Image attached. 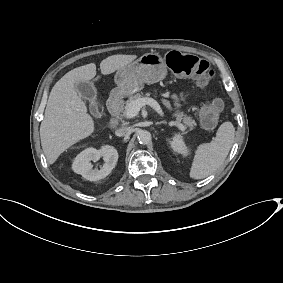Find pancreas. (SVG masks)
Masks as SVG:
<instances>
[{"mask_svg":"<svg viewBox=\"0 0 283 283\" xmlns=\"http://www.w3.org/2000/svg\"><path fill=\"white\" fill-rule=\"evenodd\" d=\"M150 94L147 93L146 96H149ZM140 98H143V95L141 93H137L133 96H130L127 101H120V104L118 107H110L108 106V111L112 116H125V111L128 106L133 101H136ZM171 106H169L170 108ZM174 116L176 117L177 122L183 121L185 126L189 127V130H193L194 126H196L195 120H193L191 117L184 115L183 112H175Z\"/></svg>","mask_w":283,"mask_h":283,"instance_id":"1","label":"pancreas"}]
</instances>
